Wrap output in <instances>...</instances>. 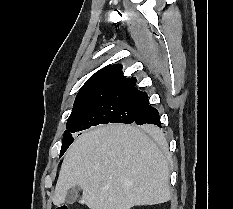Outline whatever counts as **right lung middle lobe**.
Returning a JSON list of instances; mask_svg holds the SVG:
<instances>
[{
  "mask_svg": "<svg viewBox=\"0 0 233 209\" xmlns=\"http://www.w3.org/2000/svg\"><path fill=\"white\" fill-rule=\"evenodd\" d=\"M146 106L142 103L106 101L73 108L67 121V130L63 134L60 157L74 141L73 133L99 124L133 123ZM143 129L147 130L148 127L144 126Z\"/></svg>",
  "mask_w": 233,
  "mask_h": 209,
  "instance_id": "1",
  "label": "right lung middle lobe"
}]
</instances>
